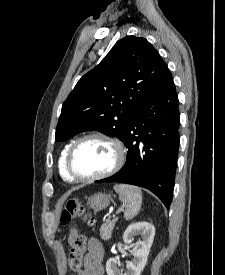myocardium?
Segmentation results:
<instances>
[{"instance_id": "1", "label": "myocardium", "mask_w": 225, "mask_h": 275, "mask_svg": "<svg viewBox=\"0 0 225 275\" xmlns=\"http://www.w3.org/2000/svg\"><path fill=\"white\" fill-rule=\"evenodd\" d=\"M91 139H100V140L106 141L113 147L115 152L114 164L109 170L100 174L90 175V176L79 175L73 169V165H72L73 155L75 153V150L81 143ZM125 157H126L125 149L122 142L119 139L104 133H90L79 137L70 145L66 155L65 166H66L67 172L73 179H76L79 181H97V180L110 177L113 174L117 173L122 168L125 162Z\"/></svg>"}]
</instances>
